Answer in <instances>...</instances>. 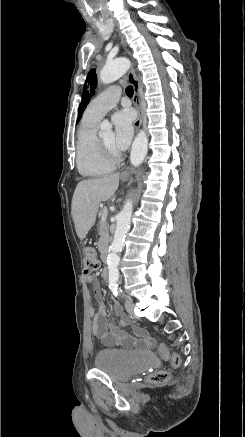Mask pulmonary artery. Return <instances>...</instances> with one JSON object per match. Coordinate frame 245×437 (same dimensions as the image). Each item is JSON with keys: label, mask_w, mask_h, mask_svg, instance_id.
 <instances>
[{"label": "pulmonary artery", "mask_w": 245, "mask_h": 437, "mask_svg": "<svg viewBox=\"0 0 245 437\" xmlns=\"http://www.w3.org/2000/svg\"><path fill=\"white\" fill-rule=\"evenodd\" d=\"M121 89L111 86L95 97L87 106L84 115L90 119L99 121L119 101Z\"/></svg>", "instance_id": "e3ab8cb5"}]
</instances>
